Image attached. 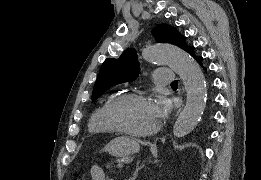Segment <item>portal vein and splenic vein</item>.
Returning a JSON list of instances; mask_svg holds the SVG:
<instances>
[{
    "instance_id": "18ae733b",
    "label": "portal vein and splenic vein",
    "mask_w": 261,
    "mask_h": 180,
    "mask_svg": "<svg viewBox=\"0 0 261 180\" xmlns=\"http://www.w3.org/2000/svg\"><path fill=\"white\" fill-rule=\"evenodd\" d=\"M115 166H117V169L118 170H123L124 169V166H123V162L122 161H117L115 163Z\"/></svg>"
}]
</instances>
